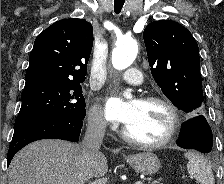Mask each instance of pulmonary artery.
Returning a JSON list of instances; mask_svg holds the SVG:
<instances>
[{
    "mask_svg": "<svg viewBox=\"0 0 224 184\" xmlns=\"http://www.w3.org/2000/svg\"><path fill=\"white\" fill-rule=\"evenodd\" d=\"M121 77L129 84L138 86L143 82L142 73L135 68H131L127 70L125 73L121 75Z\"/></svg>",
    "mask_w": 224,
    "mask_h": 184,
    "instance_id": "obj_1",
    "label": "pulmonary artery"
}]
</instances>
